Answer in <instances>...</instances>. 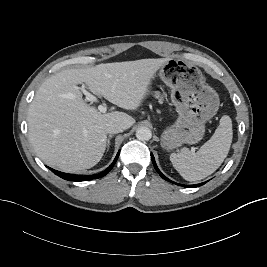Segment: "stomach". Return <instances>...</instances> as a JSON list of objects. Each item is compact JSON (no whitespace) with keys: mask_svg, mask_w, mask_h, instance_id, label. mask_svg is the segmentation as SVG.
Instances as JSON below:
<instances>
[{"mask_svg":"<svg viewBox=\"0 0 267 267\" xmlns=\"http://www.w3.org/2000/svg\"><path fill=\"white\" fill-rule=\"evenodd\" d=\"M159 77L171 88V101L178 112L176 122L161 135V146L173 150L183 144L198 143L205 123L219 108V96L205 84L201 70L180 59H168L160 67Z\"/></svg>","mask_w":267,"mask_h":267,"instance_id":"obj_1","label":"stomach"}]
</instances>
